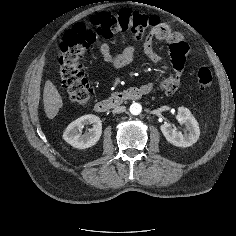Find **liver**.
I'll list each match as a JSON object with an SVG mask.
<instances>
[{
    "instance_id": "obj_1",
    "label": "liver",
    "mask_w": 236,
    "mask_h": 236,
    "mask_svg": "<svg viewBox=\"0 0 236 236\" xmlns=\"http://www.w3.org/2000/svg\"><path fill=\"white\" fill-rule=\"evenodd\" d=\"M43 103L46 116L53 119L63 107V100L55 85L47 80L44 86Z\"/></svg>"
}]
</instances>
